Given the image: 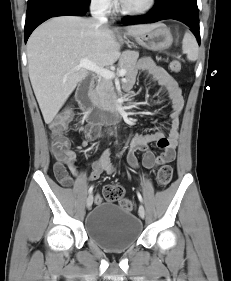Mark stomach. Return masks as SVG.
Returning <instances> with one entry per match:
<instances>
[{
	"label": "stomach",
	"instance_id": "0dacf381",
	"mask_svg": "<svg viewBox=\"0 0 231 281\" xmlns=\"http://www.w3.org/2000/svg\"><path fill=\"white\" fill-rule=\"evenodd\" d=\"M133 37L139 45L152 51L168 49L173 43L170 29L163 24H158L152 30Z\"/></svg>",
	"mask_w": 231,
	"mask_h": 281
}]
</instances>
